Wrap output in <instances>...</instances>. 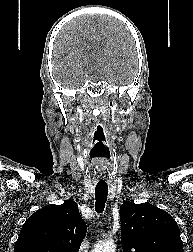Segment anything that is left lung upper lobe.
<instances>
[{
    "label": "left lung upper lobe",
    "mask_w": 193,
    "mask_h": 252,
    "mask_svg": "<svg viewBox=\"0 0 193 252\" xmlns=\"http://www.w3.org/2000/svg\"><path fill=\"white\" fill-rule=\"evenodd\" d=\"M123 252H183L177 223L150 203L120 206Z\"/></svg>",
    "instance_id": "5c2ea615"
}]
</instances>
